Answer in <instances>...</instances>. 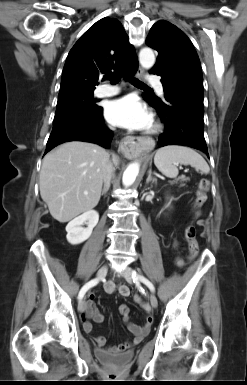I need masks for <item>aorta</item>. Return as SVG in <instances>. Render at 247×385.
<instances>
[{
	"instance_id": "obj_1",
	"label": "aorta",
	"mask_w": 247,
	"mask_h": 385,
	"mask_svg": "<svg viewBox=\"0 0 247 385\" xmlns=\"http://www.w3.org/2000/svg\"><path fill=\"white\" fill-rule=\"evenodd\" d=\"M139 62L141 66L145 69H150L155 64V55L151 48L145 47L142 48L139 52ZM140 165L136 162L131 163L123 173L122 183L124 186H131L138 173H139Z\"/></svg>"
}]
</instances>
